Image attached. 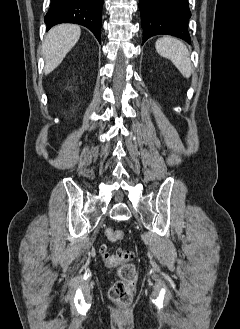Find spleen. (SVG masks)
<instances>
[{
	"mask_svg": "<svg viewBox=\"0 0 240 329\" xmlns=\"http://www.w3.org/2000/svg\"><path fill=\"white\" fill-rule=\"evenodd\" d=\"M156 51L170 59L183 77L189 78L192 73L190 54L184 43L173 37L159 38L155 43Z\"/></svg>",
	"mask_w": 240,
	"mask_h": 329,
	"instance_id": "3e777b00",
	"label": "spleen"
}]
</instances>
